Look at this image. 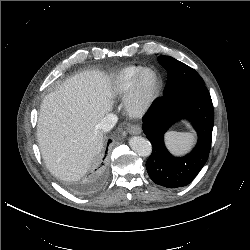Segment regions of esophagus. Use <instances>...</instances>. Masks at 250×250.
<instances>
[{
  "mask_svg": "<svg viewBox=\"0 0 250 250\" xmlns=\"http://www.w3.org/2000/svg\"><path fill=\"white\" fill-rule=\"evenodd\" d=\"M128 132L132 135H139V134H141L142 130H141V127L139 125H131L128 128Z\"/></svg>",
  "mask_w": 250,
  "mask_h": 250,
  "instance_id": "1",
  "label": "esophagus"
}]
</instances>
